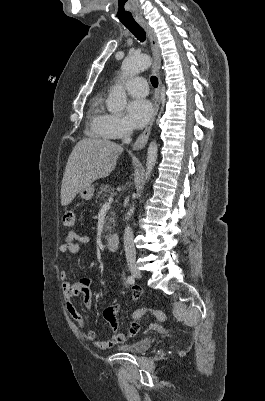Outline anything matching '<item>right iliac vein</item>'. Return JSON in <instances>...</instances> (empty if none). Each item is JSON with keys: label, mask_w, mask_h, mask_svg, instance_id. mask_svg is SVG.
I'll list each match as a JSON object with an SVG mask.
<instances>
[{"label": "right iliac vein", "mask_w": 265, "mask_h": 401, "mask_svg": "<svg viewBox=\"0 0 265 401\" xmlns=\"http://www.w3.org/2000/svg\"><path fill=\"white\" fill-rule=\"evenodd\" d=\"M130 272L132 273V275L138 279L142 278V273L139 270L138 266L136 263L131 262L128 265Z\"/></svg>", "instance_id": "right-iliac-vein-1"}]
</instances>
